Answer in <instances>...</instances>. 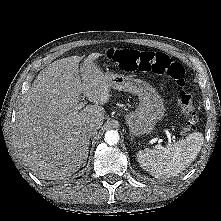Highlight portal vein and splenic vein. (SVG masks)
Masks as SVG:
<instances>
[{"label":"portal vein and splenic vein","mask_w":221,"mask_h":221,"mask_svg":"<svg viewBox=\"0 0 221 221\" xmlns=\"http://www.w3.org/2000/svg\"><path fill=\"white\" fill-rule=\"evenodd\" d=\"M82 104H84L83 102H81ZM167 137L169 138V139H171V135L170 134H167Z\"/></svg>","instance_id":"18ae733b"}]
</instances>
